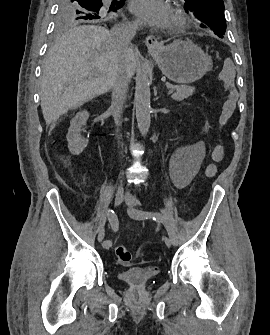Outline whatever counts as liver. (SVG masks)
Instances as JSON below:
<instances>
[{"label": "liver", "instance_id": "6515ba94", "mask_svg": "<svg viewBox=\"0 0 270 335\" xmlns=\"http://www.w3.org/2000/svg\"><path fill=\"white\" fill-rule=\"evenodd\" d=\"M135 66L133 48L118 46L107 28H71L50 46L45 58L41 110L46 124L111 90L116 70H125L132 78Z\"/></svg>", "mask_w": 270, "mask_h": 335}]
</instances>
